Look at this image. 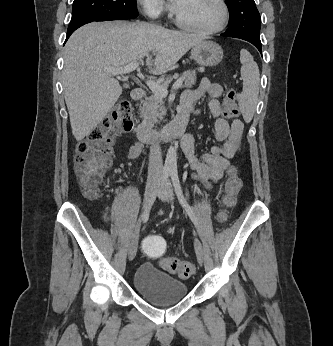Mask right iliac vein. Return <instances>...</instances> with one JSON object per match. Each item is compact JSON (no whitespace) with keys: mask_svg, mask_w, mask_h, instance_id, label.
Returning a JSON list of instances; mask_svg holds the SVG:
<instances>
[{"mask_svg":"<svg viewBox=\"0 0 333 346\" xmlns=\"http://www.w3.org/2000/svg\"><path fill=\"white\" fill-rule=\"evenodd\" d=\"M158 182H159V177L158 176L153 177L150 183L146 187V191L144 195V204H143L144 214L150 209L153 203ZM139 230H140V224L137 225L135 232L130 241V245L128 249L129 260H133L136 256L137 248H138V240H139Z\"/></svg>","mask_w":333,"mask_h":346,"instance_id":"right-iliac-vein-1","label":"right iliac vein"}]
</instances>
